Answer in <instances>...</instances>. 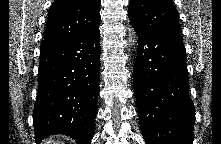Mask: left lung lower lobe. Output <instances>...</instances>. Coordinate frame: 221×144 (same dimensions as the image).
I'll use <instances>...</instances> for the list:
<instances>
[{"mask_svg": "<svg viewBox=\"0 0 221 144\" xmlns=\"http://www.w3.org/2000/svg\"><path fill=\"white\" fill-rule=\"evenodd\" d=\"M134 29L138 35L134 94L146 144H192L195 110L188 94L183 42Z\"/></svg>", "mask_w": 221, "mask_h": 144, "instance_id": "left-lung-lower-lobe-1", "label": "left lung lower lobe"}]
</instances>
